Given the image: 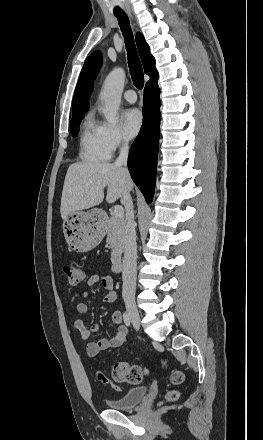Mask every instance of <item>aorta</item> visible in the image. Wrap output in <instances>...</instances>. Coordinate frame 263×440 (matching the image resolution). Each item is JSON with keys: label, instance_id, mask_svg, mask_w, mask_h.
Listing matches in <instances>:
<instances>
[{"label": "aorta", "instance_id": "aorta-1", "mask_svg": "<svg viewBox=\"0 0 263 440\" xmlns=\"http://www.w3.org/2000/svg\"><path fill=\"white\" fill-rule=\"evenodd\" d=\"M124 82L125 71L117 67L106 77L100 93V99L104 103L103 114L111 124H116L118 121L117 113L121 103Z\"/></svg>", "mask_w": 263, "mask_h": 440}]
</instances>
